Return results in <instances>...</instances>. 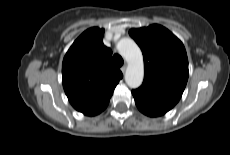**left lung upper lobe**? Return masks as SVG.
<instances>
[{"label": "left lung upper lobe", "instance_id": "1", "mask_svg": "<svg viewBox=\"0 0 230 155\" xmlns=\"http://www.w3.org/2000/svg\"><path fill=\"white\" fill-rule=\"evenodd\" d=\"M129 34L140 46L144 57V81L133 91L174 107L189 75L183 43L158 24L131 29Z\"/></svg>", "mask_w": 230, "mask_h": 155}]
</instances>
